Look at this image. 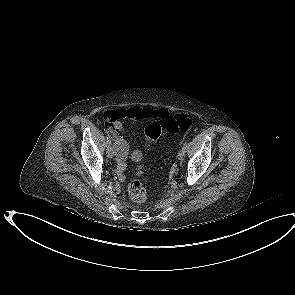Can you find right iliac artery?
<instances>
[{
  "label": "right iliac artery",
  "instance_id": "obj_1",
  "mask_svg": "<svg viewBox=\"0 0 295 295\" xmlns=\"http://www.w3.org/2000/svg\"><path fill=\"white\" fill-rule=\"evenodd\" d=\"M107 139H110V135H109V134L107 135ZM107 144L110 145V144H111V141L108 140V141H107Z\"/></svg>",
  "mask_w": 295,
  "mask_h": 295
}]
</instances>
